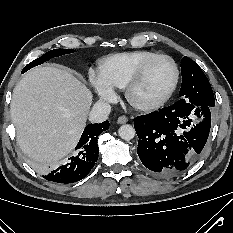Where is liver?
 <instances>
[{"mask_svg": "<svg viewBox=\"0 0 233 233\" xmlns=\"http://www.w3.org/2000/svg\"><path fill=\"white\" fill-rule=\"evenodd\" d=\"M92 97L82 80L63 67L28 71L15 86L10 104L21 150L46 165L64 158L82 134Z\"/></svg>", "mask_w": 233, "mask_h": 233, "instance_id": "liver-1", "label": "liver"}]
</instances>
